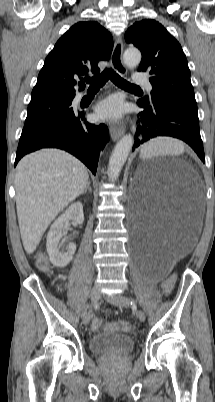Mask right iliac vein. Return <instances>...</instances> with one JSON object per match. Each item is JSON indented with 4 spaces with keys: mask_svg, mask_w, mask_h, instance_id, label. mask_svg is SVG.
Listing matches in <instances>:
<instances>
[{
    "mask_svg": "<svg viewBox=\"0 0 215 402\" xmlns=\"http://www.w3.org/2000/svg\"><path fill=\"white\" fill-rule=\"evenodd\" d=\"M100 298V291L97 288H93L90 292V299L92 304H95ZM83 324L87 325L90 321V311L84 313L83 315Z\"/></svg>",
    "mask_w": 215,
    "mask_h": 402,
    "instance_id": "1",
    "label": "right iliac vein"
}]
</instances>
